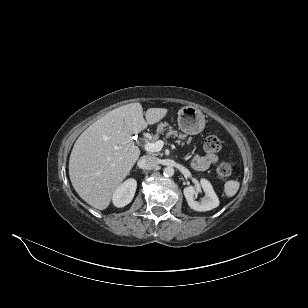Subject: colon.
<instances>
[{
    "mask_svg": "<svg viewBox=\"0 0 308 308\" xmlns=\"http://www.w3.org/2000/svg\"><path fill=\"white\" fill-rule=\"evenodd\" d=\"M204 148L208 153L215 154L221 150V141L215 135H209L204 141ZM234 171V165L229 161H222L216 167L217 177L225 181L231 177Z\"/></svg>",
    "mask_w": 308,
    "mask_h": 308,
    "instance_id": "colon-1",
    "label": "colon"
}]
</instances>
